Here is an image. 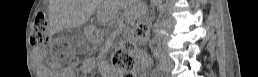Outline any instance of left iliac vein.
<instances>
[{
    "instance_id": "left-iliac-vein-1",
    "label": "left iliac vein",
    "mask_w": 258,
    "mask_h": 77,
    "mask_svg": "<svg viewBox=\"0 0 258 77\" xmlns=\"http://www.w3.org/2000/svg\"><path fill=\"white\" fill-rule=\"evenodd\" d=\"M174 68L173 61L168 57H162L160 59V69L164 73H170Z\"/></svg>"
}]
</instances>
